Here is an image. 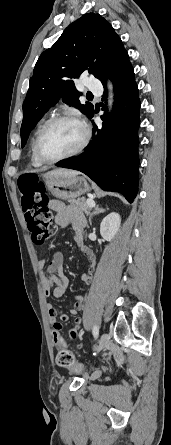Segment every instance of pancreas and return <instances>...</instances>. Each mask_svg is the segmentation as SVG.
Segmentation results:
<instances>
[{
  "label": "pancreas",
  "instance_id": "cf45deb5",
  "mask_svg": "<svg viewBox=\"0 0 171 445\" xmlns=\"http://www.w3.org/2000/svg\"><path fill=\"white\" fill-rule=\"evenodd\" d=\"M70 205L67 207V213L71 221H75L78 217H82L89 213L90 207L85 198L72 199L69 201Z\"/></svg>",
  "mask_w": 171,
  "mask_h": 445
}]
</instances>
